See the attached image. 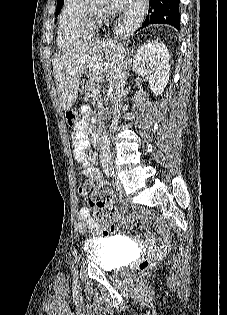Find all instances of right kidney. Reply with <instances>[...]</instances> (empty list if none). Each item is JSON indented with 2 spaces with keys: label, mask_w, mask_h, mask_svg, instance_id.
Listing matches in <instances>:
<instances>
[{
  "label": "right kidney",
  "mask_w": 227,
  "mask_h": 315,
  "mask_svg": "<svg viewBox=\"0 0 227 315\" xmlns=\"http://www.w3.org/2000/svg\"><path fill=\"white\" fill-rule=\"evenodd\" d=\"M169 51L167 47L156 41H149L137 50L134 57V71L145 77L154 95L162 94L170 76Z\"/></svg>",
  "instance_id": "right-kidney-1"
}]
</instances>
